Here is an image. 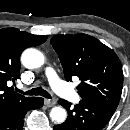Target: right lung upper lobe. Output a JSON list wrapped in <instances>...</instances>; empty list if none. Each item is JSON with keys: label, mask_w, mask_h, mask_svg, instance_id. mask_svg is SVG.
Returning a JSON list of instances; mask_svg holds the SVG:
<instances>
[{"label": "right lung upper lobe", "mask_w": 130, "mask_h": 130, "mask_svg": "<svg viewBox=\"0 0 130 130\" xmlns=\"http://www.w3.org/2000/svg\"><path fill=\"white\" fill-rule=\"evenodd\" d=\"M47 40L46 36L33 35L16 28L0 29V107L26 102L25 97L8 87L7 83L20 78V55L31 46H38Z\"/></svg>", "instance_id": "obj_1"}]
</instances>
